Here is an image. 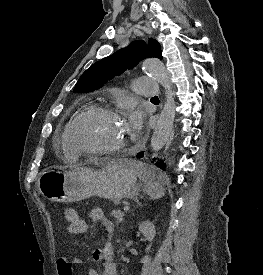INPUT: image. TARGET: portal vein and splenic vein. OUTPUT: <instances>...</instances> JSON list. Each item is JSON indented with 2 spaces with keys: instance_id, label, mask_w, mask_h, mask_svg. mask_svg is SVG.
<instances>
[{
  "instance_id": "18ae733b",
  "label": "portal vein and splenic vein",
  "mask_w": 263,
  "mask_h": 275,
  "mask_svg": "<svg viewBox=\"0 0 263 275\" xmlns=\"http://www.w3.org/2000/svg\"><path fill=\"white\" fill-rule=\"evenodd\" d=\"M123 210H124L125 212H127V211H129V207H128V206H124Z\"/></svg>"
}]
</instances>
